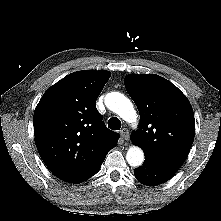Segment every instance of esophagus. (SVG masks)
<instances>
[{
    "label": "esophagus",
    "instance_id": "esophagus-1",
    "mask_svg": "<svg viewBox=\"0 0 221 221\" xmlns=\"http://www.w3.org/2000/svg\"><path fill=\"white\" fill-rule=\"evenodd\" d=\"M120 135L124 140H128L129 139V130L127 128L121 129Z\"/></svg>",
    "mask_w": 221,
    "mask_h": 221
}]
</instances>
